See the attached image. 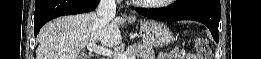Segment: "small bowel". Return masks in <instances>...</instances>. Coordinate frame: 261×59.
Here are the masks:
<instances>
[{"label": "small bowel", "instance_id": "small-bowel-1", "mask_svg": "<svg viewBox=\"0 0 261 59\" xmlns=\"http://www.w3.org/2000/svg\"><path fill=\"white\" fill-rule=\"evenodd\" d=\"M187 55L190 56V57H194L193 54H187ZM158 59H172V57L170 56V53L169 54L161 53L159 55ZM191 59H195V58H191Z\"/></svg>", "mask_w": 261, "mask_h": 59}]
</instances>
